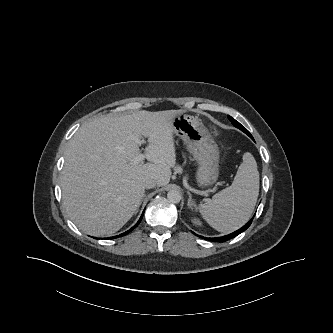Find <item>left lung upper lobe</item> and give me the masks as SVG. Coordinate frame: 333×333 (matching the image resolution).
Instances as JSON below:
<instances>
[{
    "instance_id": "left-lung-upper-lobe-1",
    "label": "left lung upper lobe",
    "mask_w": 333,
    "mask_h": 333,
    "mask_svg": "<svg viewBox=\"0 0 333 333\" xmlns=\"http://www.w3.org/2000/svg\"><path fill=\"white\" fill-rule=\"evenodd\" d=\"M229 120L232 122V124L237 127L238 129L242 130L244 133H246L249 137H251L253 139V137L251 136V134L248 132V130L243 127L239 122H237L234 118H232L231 116H228Z\"/></svg>"
}]
</instances>
